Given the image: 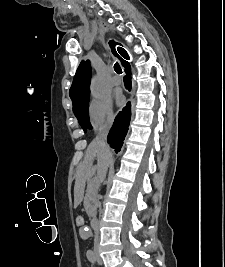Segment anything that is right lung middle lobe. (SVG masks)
<instances>
[{
	"instance_id": "obj_1",
	"label": "right lung middle lobe",
	"mask_w": 225,
	"mask_h": 267,
	"mask_svg": "<svg viewBox=\"0 0 225 267\" xmlns=\"http://www.w3.org/2000/svg\"><path fill=\"white\" fill-rule=\"evenodd\" d=\"M73 112L84 131L92 129L89 120V95L73 106Z\"/></svg>"
}]
</instances>
